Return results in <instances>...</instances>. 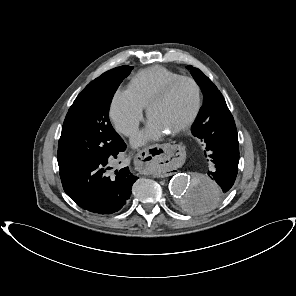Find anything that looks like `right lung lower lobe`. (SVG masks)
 <instances>
[{"label":"right lung lower lobe","mask_w":296,"mask_h":296,"mask_svg":"<svg viewBox=\"0 0 296 296\" xmlns=\"http://www.w3.org/2000/svg\"><path fill=\"white\" fill-rule=\"evenodd\" d=\"M125 149L124 143L120 152ZM118 154L60 170L66 194L78 206L93 213L108 215L121 210L131 195L132 184L138 177L132 175L128 167L116 171L115 178L108 176L109 161L117 158Z\"/></svg>","instance_id":"obj_1"}]
</instances>
